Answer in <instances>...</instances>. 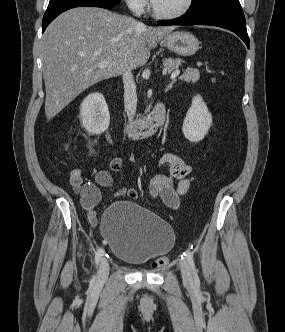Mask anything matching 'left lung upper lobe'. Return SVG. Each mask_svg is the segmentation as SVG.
Wrapping results in <instances>:
<instances>
[{
    "label": "left lung upper lobe",
    "mask_w": 285,
    "mask_h": 332,
    "mask_svg": "<svg viewBox=\"0 0 285 332\" xmlns=\"http://www.w3.org/2000/svg\"><path fill=\"white\" fill-rule=\"evenodd\" d=\"M225 3H239V0H192L189 12L199 11Z\"/></svg>",
    "instance_id": "5c2ea615"
}]
</instances>
